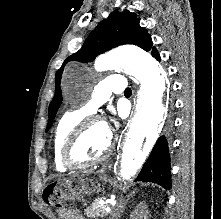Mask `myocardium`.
<instances>
[{"label":"myocardium","instance_id":"myocardium-1","mask_svg":"<svg viewBox=\"0 0 221 219\" xmlns=\"http://www.w3.org/2000/svg\"><path fill=\"white\" fill-rule=\"evenodd\" d=\"M94 123H100L103 124V120L99 116H90L87 118H84L70 133L67 140L64 143L63 149H62V161L63 163L68 166L71 169H85L92 166H95L102 161H104L108 156L112 153L115 147L116 139L114 134L111 130L108 129L109 133V143L105 151L98 156L97 158L86 161V162H79L74 158L73 152L74 148L79 141L81 135L83 134L84 130Z\"/></svg>","mask_w":221,"mask_h":219}]
</instances>
